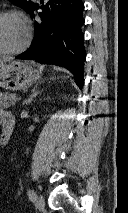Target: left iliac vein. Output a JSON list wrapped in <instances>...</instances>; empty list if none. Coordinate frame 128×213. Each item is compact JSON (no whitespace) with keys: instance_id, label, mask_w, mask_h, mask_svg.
<instances>
[{"instance_id":"4c4485c4","label":"left iliac vein","mask_w":128,"mask_h":213,"mask_svg":"<svg viewBox=\"0 0 128 213\" xmlns=\"http://www.w3.org/2000/svg\"><path fill=\"white\" fill-rule=\"evenodd\" d=\"M36 202V206L38 207V209L43 210L45 207V201L44 198L42 196H37L35 199Z\"/></svg>"}]
</instances>
